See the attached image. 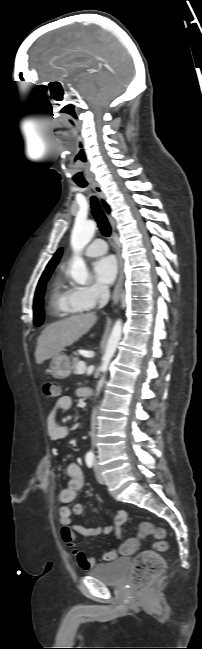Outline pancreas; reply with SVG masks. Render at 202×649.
I'll use <instances>...</instances> for the list:
<instances>
[{
    "label": "pancreas",
    "instance_id": "cf45deb5",
    "mask_svg": "<svg viewBox=\"0 0 202 649\" xmlns=\"http://www.w3.org/2000/svg\"><path fill=\"white\" fill-rule=\"evenodd\" d=\"M79 362H80V361L78 360V358H74V359H73V362H72V372H73V374H75V375H78V374H79V372H78V368H77V365H78Z\"/></svg>",
    "mask_w": 202,
    "mask_h": 649
}]
</instances>
